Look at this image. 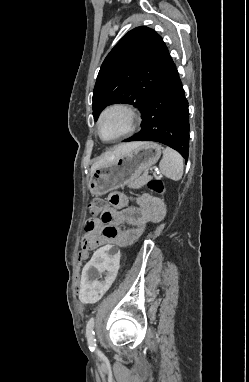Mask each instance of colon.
<instances>
[{"mask_svg": "<svg viewBox=\"0 0 249 382\" xmlns=\"http://www.w3.org/2000/svg\"><path fill=\"white\" fill-rule=\"evenodd\" d=\"M148 186L152 191L156 193H162L164 191V184L161 180L153 179L149 181ZM88 208L90 212L93 214H97V215L102 214L105 208V201L99 197L92 198L88 204ZM86 256H87V253L85 249L79 252L80 261L84 260Z\"/></svg>", "mask_w": 249, "mask_h": 382, "instance_id": "obj_1", "label": "colon"}]
</instances>
